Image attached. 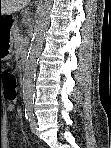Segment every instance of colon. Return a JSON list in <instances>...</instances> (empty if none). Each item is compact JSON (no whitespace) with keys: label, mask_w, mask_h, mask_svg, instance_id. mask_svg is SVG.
Returning <instances> with one entry per match:
<instances>
[{"label":"colon","mask_w":111,"mask_h":148,"mask_svg":"<svg viewBox=\"0 0 111 148\" xmlns=\"http://www.w3.org/2000/svg\"><path fill=\"white\" fill-rule=\"evenodd\" d=\"M0 85L3 86V97L8 101H15L18 89L15 74L6 70L0 71Z\"/></svg>","instance_id":"5ec220e1"}]
</instances>
